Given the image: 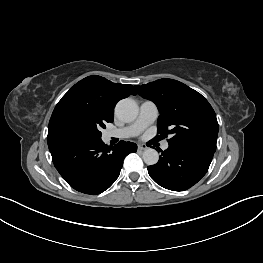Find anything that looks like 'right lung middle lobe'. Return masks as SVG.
Wrapping results in <instances>:
<instances>
[{
  "label": "right lung middle lobe",
  "instance_id": "right-lung-middle-lobe-1",
  "mask_svg": "<svg viewBox=\"0 0 263 263\" xmlns=\"http://www.w3.org/2000/svg\"><path fill=\"white\" fill-rule=\"evenodd\" d=\"M113 122L99 112L75 108L67 111L59 120L58 135L69 144L97 141L101 139V128Z\"/></svg>",
  "mask_w": 263,
  "mask_h": 263
}]
</instances>
